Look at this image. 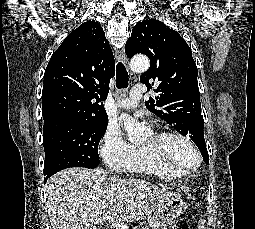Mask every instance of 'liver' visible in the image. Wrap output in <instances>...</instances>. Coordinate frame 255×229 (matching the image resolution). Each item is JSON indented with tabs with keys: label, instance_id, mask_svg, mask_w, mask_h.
Segmentation results:
<instances>
[{
	"label": "liver",
	"instance_id": "6515ba94",
	"mask_svg": "<svg viewBox=\"0 0 255 229\" xmlns=\"http://www.w3.org/2000/svg\"><path fill=\"white\" fill-rule=\"evenodd\" d=\"M46 196L53 229H91L106 222L142 220L164 206L174 193L145 180L109 179L102 168L78 167L52 176Z\"/></svg>",
	"mask_w": 255,
	"mask_h": 229
}]
</instances>
